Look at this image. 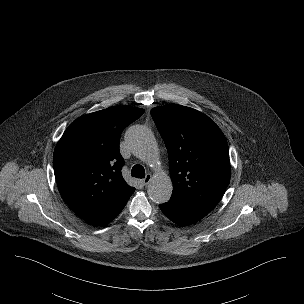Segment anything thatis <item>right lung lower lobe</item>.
I'll list each match as a JSON object with an SVG mask.
<instances>
[{
  "label": "right lung lower lobe",
  "instance_id": "obj_1",
  "mask_svg": "<svg viewBox=\"0 0 304 304\" xmlns=\"http://www.w3.org/2000/svg\"><path fill=\"white\" fill-rule=\"evenodd\" d=\"M128 199L125 200L120 206H118V208L114 212H112L108 217H106L103 221H101L99 225H106L110 223L114 218H116L118 214L122 211V209L125 207Z\"/></svg>",
  "mask_w": 304,
  "mask_h": 304
}]
</instances>
